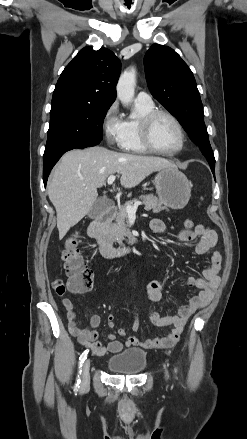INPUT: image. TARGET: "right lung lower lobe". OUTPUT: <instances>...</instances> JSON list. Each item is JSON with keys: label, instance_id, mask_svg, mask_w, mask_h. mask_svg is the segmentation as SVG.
<instances>
[{"label": "right lung lower lobe", "instance_id": "1", "mask_svg": "<svg viewBox=\"0 0 247 439\" xmlns=\"http://www.w3.org/2000/svg\"><path fill=\"white\" fill-rule=\"evenodd\" d=\"M61 156L62 155L57 156V157L47 161L46 163H43V182H44L45 186H46L47 179H48V176H49L51 169L56 164V162L60 159Z\"/></svg>", "mask_w": 247, "mask_h": 439}]
</instances>
